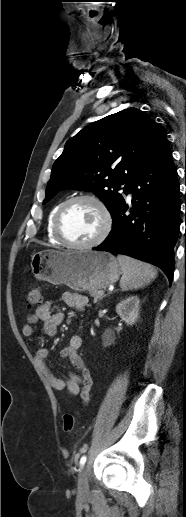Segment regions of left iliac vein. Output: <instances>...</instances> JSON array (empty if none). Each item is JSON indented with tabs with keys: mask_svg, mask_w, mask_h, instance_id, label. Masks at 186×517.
<instances>
[{
	"mask_svg": "<svg viewBox=\"0 0 186 517\" xmlns=\"http://www.w3.org/2000/svg\"><path fill=\"white\" fill-rule=\"evenodd\" d=\"M88 490L87 466H84L78 475V493L80 496H84L88 493Z\"/></svg>",
	"mask_w": 186,
	"mask_h": 517,
	"instance_id": "obj_1",
	"label": "left iliac vein"
}]
</instances>
